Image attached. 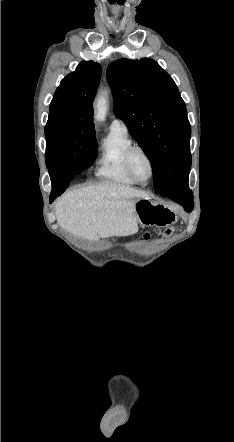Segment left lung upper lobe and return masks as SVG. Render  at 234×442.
<instances>
[{"label":"left lung upper lobe","instance_id":"1","mask_svg":"<svg viewBox=\"0 0 234 442\" xmlns=\"http://www.w3.org/2000/svg\"><path fill=\"white\" fill-rule=\"evenodd\" d=\"M114 112L149 158L155 192L181 186L191 168V127L173 79L152 59H119L107 69Z\"/></svg>","mask_w":234,"mask_h":442}]
</instances>
